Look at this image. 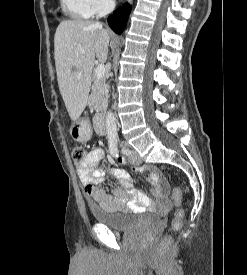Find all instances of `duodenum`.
<instances>
[{"label": "duodenum", "instance_id": "410a0bca", "mask_svg": "<svg viewBox=\"0 0 247 275\" xmlns=\"http://www.w3.org/2000/svg\"><path fill=\"white\" fill-rule=\"evenodd\" d=\"M94 128L98 135H104L106 133V120L102 114L97 115L94 118Z\"/></svg>", "mask_w": 247, "mask_h": 275}]
</instances>
